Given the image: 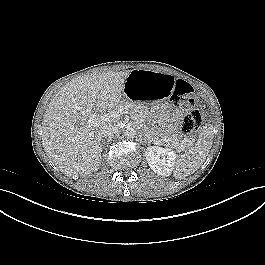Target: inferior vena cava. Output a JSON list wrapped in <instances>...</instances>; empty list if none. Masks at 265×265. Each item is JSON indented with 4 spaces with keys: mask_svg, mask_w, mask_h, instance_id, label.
<instances>
[{
    "mask_svg": "<svg viewBox=\"0 0 265 265\" xmlns=\"http://www.w3.org/2000/svg\"><path fill=\"white\" fill-rule=\"evenodd\" d=\"M118 133V128L115 125H105L101 129V137L105 139H111Z\"/></svg>",
    "mask_w": 265,
    "mask_h": 265,
    "instance_id": "inferior-vena-cava-1",
    "label": "inferior vena cava"
}]
</instances>
